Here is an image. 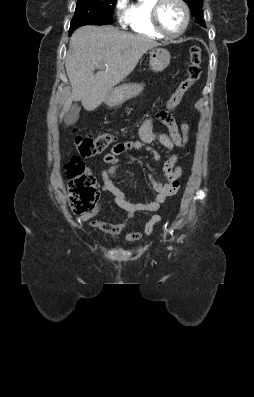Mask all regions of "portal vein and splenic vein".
I'll list each match as a JSON object with an SVG mask.
<instances>
[{"label": "portal vein and splenic vein", "mask_w": 254, "mask_h": 397, "mask_svg": "<svg viewBox=\"0 0 254 397\" xmlns=\"http://www.w3.org/2000/svg\"><path fill=\"white\" fill-rule=\"evenodd\" d=\"M104 66H106V64L99 65L98 68L101 69V68H103Z\"/></svg>", "instance_id": "18ae733b"}]
</instances>
